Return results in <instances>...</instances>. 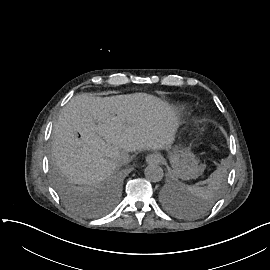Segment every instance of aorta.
Instances as JSON below:
<instances>
[{
	"instance_id": "obj_1",
	"label": "aorta",
	"mask_w": 270,
	"mask_h": 270,
	"mask_svg": "<svg viewBox=\"0 0 270 270\" xmlns=\"http://www.w3.org/2000/svg\"><path fill=\"white\" fill-rule=\"evenodd\" d=\"M144 174L146 179L151 182H159L163 178V169L158 164H149L145 170Z\"/></svg>"
}]
</instances>
